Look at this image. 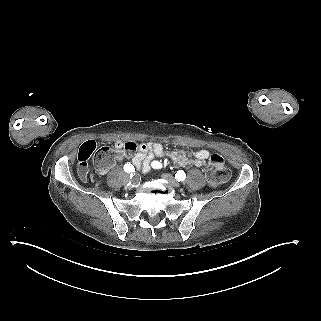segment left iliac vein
Masks as SVG:
<instances>
[{"mask_svg":"<svg viewBox=\"0 0 321 321\" xmlns=\"http://www.w3.org/2000/svg\"><path fill=\"white\" fill-rule=\"evenodd\" d=\"M162 178H164L166 181H168L174 187L180 186V183L178 182V180L174 176H172L171 174L164 173V174H162Z\"/></svg>","mask_w":321,"mask_h":321,"instance_id":"4c4485c4","label":"left iliac vein"}]
</instances>
